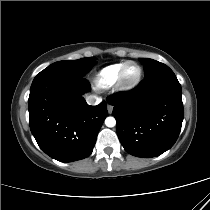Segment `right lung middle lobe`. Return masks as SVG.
Returning a JSON list of instances; mask_svg holds the SVG:
<instances>
[{
	"label": "right lung middle lobe",
	"mask_w": 210,
	"mask_h": 210,
	"mask_svg": "<svg viewBox=\"0 0 210 210\" xmlns=\"http://www.w3.org/2000/svg\"><path fill=\"white\" fill-rule=\"evenodd\" d=\"M96 63L97 62L93 57L82 58L78 60L58 61L49 65L38 75H44L48 73H65L84 76Z\"/></svg>",
	"instance_id": "right-lung-middle-lobe-1"
}]
</instances>
